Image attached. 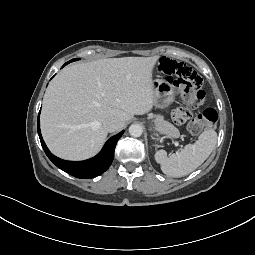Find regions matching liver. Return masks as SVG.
Instances as JSON below:
<instances>
[{
	"label": "liver",
	"mask_w": 255,
	"mask_h": 255,
	"mask_svg": "<svg viewBox=\"0 0 255 255\" xmlns=\"http://www.w3.org/2000/svg\"><path fill=\"white\" fill-rule=\"evenodd\" d=\"M159 58H109L61 70L47 88L41 112L51 152L67 160L90 158L108 135L106 120L118 119L122 129L134 115L151 111L152 71Z\"/></svg>",
	"instance_id": "6515ba94"
}]
</instances>
